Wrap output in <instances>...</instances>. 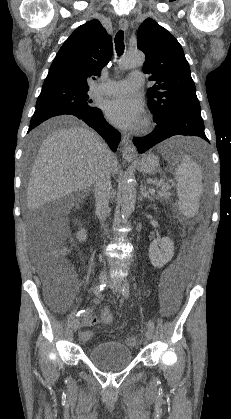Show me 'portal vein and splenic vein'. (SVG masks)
Instances as JSON below:
<instances>
[{
  "instance_id": "1",
  "label": "portal vein and splenic vein",
  "mask_w": 231,
  "mask_h": 419,
  "mask_svg": "<svg viewBox=\"0 0 231 419\" xmlns=\"http://www.w3.org/2000/svg\"><path fill=\"white\" fill-rule=\"evenodd\" d=\"M160 184L162 185V188L163 189H169L170 188V186L168 185V184H165L163 181H160Z\"/></svg>"
}]
</instances>
